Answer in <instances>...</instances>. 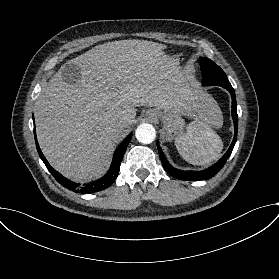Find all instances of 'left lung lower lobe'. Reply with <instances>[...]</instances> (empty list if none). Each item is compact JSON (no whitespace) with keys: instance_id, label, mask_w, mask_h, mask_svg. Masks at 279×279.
<instances>
[{"instance_id":"0a47b994","label":"left lung lower lobe","mask_w":279,"mask_h":279,"mask_svg":"<svg viewBox=\"0 0 279 279\" xmlns=\"http://www.w3.org/2000/svg\"><path fill=\"white\" fill-rule=\"evenodd\" d=\"M227 89L232 97V117H233V122H234V138L233 141L228 149V151L223 155V157L215 163L213 166L209 167L208 169H205L203 171H181L178 170L174 167H172L169 162L167 161L164 153L162 152L159 143L157 142V148L159 152V156L163 165V168L166 170V172L180 180H188V181H198V180H206L214 175H216L225 165V162L229 158L234 145L237 140V130H238V116H237V110H236V98H235V92L234 89L231 87L225 88Z\"/></svg>"}]
</instances>
